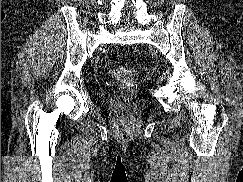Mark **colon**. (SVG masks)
Returning a JSON list of instances; mask_svg holds the SVG:
<instances>
[{"label": "colon", "instance_id": "1", "mask_svg": "<svg viewBox=\"0 0 243 182\" xmlns=\"http://www.w3.org/2000/svg\"><path fill=\"white\" fill-rule=\"evenodd\" d=\"M110 75L118 80H129L135 75V70L124 66H115L110 69Z\"/></svg>", "mask_w": 243, "mask_h": 182}]
</instances>
